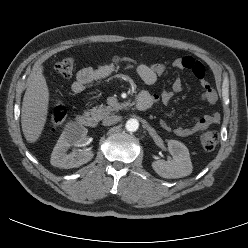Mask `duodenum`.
<instances>
[{
  "instance_id": "1",
  "label": "duodenum",
  "mask_w": 248,
  "mask_h": 248,
  "mask_svg": "<svg viewBox=\"0 0 248 248\" xmlns=\"http://www.w3.org/2000/svg\"><path fill=\"white\" fill-rule=\"evenodd\" d=\"M151 107L150 97L147 93H142L137 101V108L141 111L148 110ZM78 123L87 128H95L97 120L92 115L80 114L77 118Z\"/></svg>"
}]
</instances>
